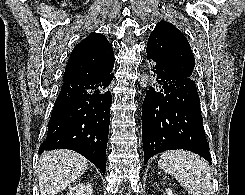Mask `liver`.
<instances>
[{
  "instance_id": "obj_1",
  "label": "liver",
  "mask_w": 245,
  "mask_h": 195,
  "mask_svg": "<svg viewBox=\"0 0 245 195\" xmlns=\"http://www.w3.org/2000/svg\"><path fill=\"white\" fill-rule=\"evenodd\" d=\"M87 160L66 149L42 154L38 163V180L41 195H56L81 176L87 169Z\"/></svg>"
}]
</instances>
